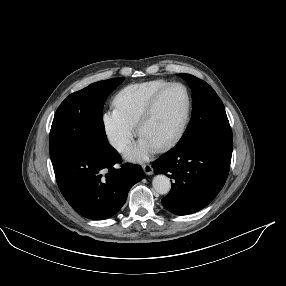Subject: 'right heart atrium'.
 <instances>
[{
  "label": "right heart atrium",
  "mask_w": 286,
  "mask_h": 286,
  "mask_svg": "<svg viewBox=\"0 0 286 286\" xmlns=\"http://www.w3.org/2000/svg\"><path fill=\"white\" fill-rule=\"evenodd\" d=\"M103 124L109 143L118 151H125L133 144L135 125L116 107L103 114Z\"/></svg>",
  "instance_id": "obj_1"
}]
</instances>
